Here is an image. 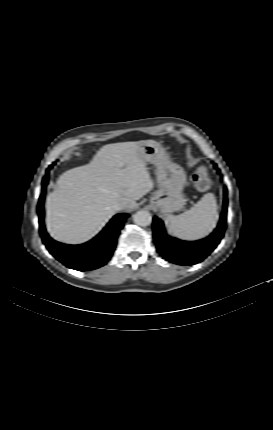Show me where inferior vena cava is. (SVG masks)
<instances>
[{
	"instance_id": "inferior-vena-cava-1",
	"label": "inferior vena cava",
	"mask_w": 273,
	"mask_h": 430,
	"mask_svg": "<svg viewBox=\"0 0 273 430\" xmlns=\"http://www.w3.org/2000/svg\"><path fill=\"white\" fill-rule=\"evenodd\" d=\"M126 205H127V202L125 200H121V201L116 202L113 205V208H114L115 211H120V210L125 209Z\"/></svg>"
}]
</instances>
